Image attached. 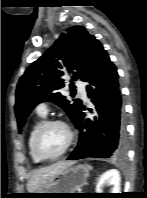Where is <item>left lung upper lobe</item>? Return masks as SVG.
Wrapping results in <instances>:
<instances>
[{"instance_id":"5c2ea615","label":"left lung upper lobe","mask_w":147,"mask_h":198,"mask_svg":"<svg viewBox=\"0 0 147 198\" xmlns=\"http://www.w3.org/2000/svg\"><path fill=\"white\" fill-rule=\"evenodd\" d=\"M94 40L83 26L70 27L27 68L16 89L15 114L19 131L34 106L45 100L62 107L76 125L82 109L81 100L75 99L72 103L57 90L65 84L62 79L65 72L73 73L74 80H86ZM70 86L74 87L73 82Z\"/></svg>"}]
</instances>
